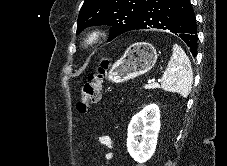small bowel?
Segmentation results:
<instances>
[{
	"label": "small bowel",
	"instance_id": "obj_1",
	"mask_svg": "<svg viewBox=\"0 0 227 166\" xmlns=\"http://www.w3.org/2000/svg\"><path fill=\"white\" fill-rule=\"evenodd\" d=\"M98 142L101 145H103V146H105V147H107L109 149H111L113 147L112 140L108 136H101V137H99L98 138ZM106 159L109 160V161L112 160L113 159L112 154L111 153H108L106 155Z\"/></svg>",
	"mask_w": 227,
	"mask_h": 166
}]
</instances>
